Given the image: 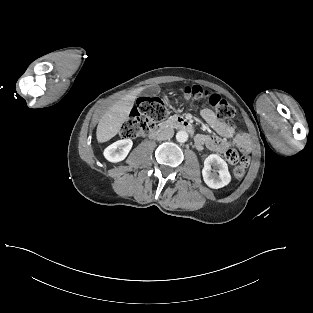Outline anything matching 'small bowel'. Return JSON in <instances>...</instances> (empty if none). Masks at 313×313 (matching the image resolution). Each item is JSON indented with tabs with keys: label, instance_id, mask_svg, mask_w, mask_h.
<instances>
[{
	"label": "small bowel",
	"instance_id": "c3829d8e",
	"mask_svg": "<svg viewBox=\"0 0 313 313\" xmlns=\"http://www.w3.org/2000/svg\"><path fill=\"white\" fill-rule=\"evenodd\" d=\"M201 116L218 136L197 135L195 138V144L198 149L202 150L206 147L211 151L226 155L228 152L234 151L230 149V143L228 141L229 139H232V143L243 155H247L251 152L253 140L248 133H236V129L233 125L220 120L209 108H204L201 111Z\"/></svg>",
	"mask_w": 313,
	"mask_h": 313
}]
</instances>
